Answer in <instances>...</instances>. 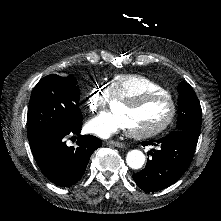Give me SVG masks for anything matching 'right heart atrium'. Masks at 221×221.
<instances>
[{
  "instance_id": "obj_1",
  "label": "right heart atrium",
  "mask_w": 221,
  "mask_h": 221,
  "mask_svg": "<svg viewBox=\"0 0 221 221\" xmlns=\"http://www.w3.org/2000/svg\"><path fill=\"white\" fill-rule=\"evenodd\" d=\"M104 96V91L101 88H96L93 91V96L88 99V106L91 109H96L99 106V99Z\"/></svg>"
}]
</instances>
